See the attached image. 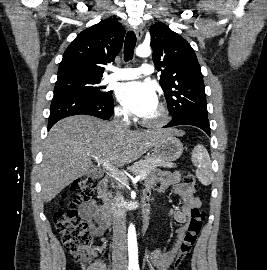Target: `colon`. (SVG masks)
<instances>
[{
    "instance_id": "obj_1",
    "label": "colon",
    "mask_w": 267,
    "mask_h": 270,
    "mask_svg": "<svg viewBox=\"0 0 267 270\" xmlns=\"http://www.w3.org/2000/svg\"><path fill=\"white\" fill-rule=\"evenodd\" d=\"M184 183L194 190L197 188L196 179L192 172L186 173ZM95 188L96 182L92 178L76 180L70 188L69 195H67L66 208H59L54 214V226L64 248L80 265H85L89 261L93 250L91 248V233L85 220L79 216L77 207L80 203L91 199ZM204 217L205 213L202 209L193 211L175 260V270H178L190 253L201 231Z\"/></svg>"
}]
</instances>
